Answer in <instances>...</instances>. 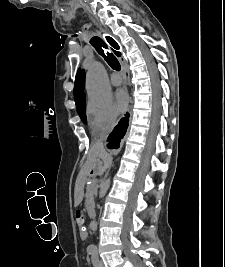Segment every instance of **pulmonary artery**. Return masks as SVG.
Instances as JSON below:
<instances>
[{
    "instance_id": "obj_1",
    "label": "pulmonary artery",
    "mask_w": 225,
    "mask_h": 267,
    "mask_svg": "<svg viewBox=\"0 0 225 267\" xmlns=\"http://www.w3.org/2000/svg\"><path fill=\"white\" fill-rule=\"evenodd\" d=\"M110 81L112 85L119 86L122 83V78L119 74L114 73L111 75Z\"/></svg>"
}]
</instances>
